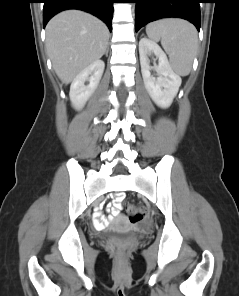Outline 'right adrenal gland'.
<instances>
[{
  "label": "right adrenal gland",
  "instance_id": "2a0ac1e0",
  "mask_svg": "<svg viewBox=\"0 0 239 296\" xmlns=\"http://www.w3.org/2000/svg\"><path fill=\"white\" fill-rule=\"evenodd\" d=\"M105 55L108 56V46L106 48Z\"/></svg>",
  "mask_w": 239,
  "mask_h": 296
}]
</instances>
